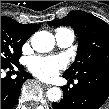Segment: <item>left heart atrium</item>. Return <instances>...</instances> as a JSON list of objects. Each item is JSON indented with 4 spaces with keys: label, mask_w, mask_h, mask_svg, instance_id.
I'll return each instance as SVG.
<instances>
[{
    "label": "left heart atrium",
    "mask_w": 109,
    "mask_h": 109,
    "mask_svg": "<svg viewBox=\"0 0 109 109\" xmlns=\"http://www.w3.org/2000/svg\"><path fill=\"white\" fill-rule=\"evenodd\" d=\"M66 65L67 61L62 56L31 57L28 61L29 70L46 81L56 78Z\"/></svg>",
    "instance_id": "39dd6f15"
}]
</instances>
